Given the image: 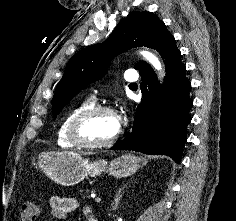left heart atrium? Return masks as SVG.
Segmentation results:
<instances>
[{
    "instance_id": "obj_1",
    "label": "left heart atrium",
    "mask_w": 236,
    "mask_h": 221,
    "mask_svg": "<svg viewBox=\"0 0 236 221\" xmlns=\"http://www.w3.org/2000/svg\"><path fill=\"white\" fill-rule=\"evenodd\" d=\"M116 119H117L118 127H120V125H121V118L119 116H116Z\"/></svg>"
}]
</instances>
